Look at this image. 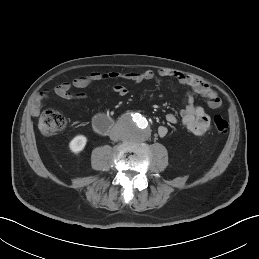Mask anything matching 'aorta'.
Wrapping results in <instances>:
<instances>
[{
  "mask_svg": "<svg viewBox=\"0 0 259 259\" xmlns=\"http://www.w3.org/2000/svg\"><path fill=\"white\" fill-rule=\"evenodd\" d=\"M120 134L129 142L145 141L150 135L148 120L139 113H130L124 116L119 125Z\"/></svg>",
  "mask_w": 259,
  "mask_h": 259,
  "instance_id": "obj_1",
  "label": "aorta"
}]
</instances>
